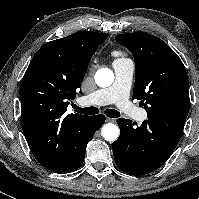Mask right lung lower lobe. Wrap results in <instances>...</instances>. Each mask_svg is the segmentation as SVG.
<instances>
[{
	"mask_svg": "<svg viewBox=\"0 0 199 199\" xmlns=\"http://www.w3.org/2000/svg\"><path fill=\"white\" fill-rule=\"evenodd\" d=\"M104 122V115L87 116L76 124L57 146L45 145L43 140H39L35 135L25 134V137L30 150L41 165L55 173H70L82 165L87 143Z\"/></svg>",
	"mask_w": 199,
	"mask_h": 199,
	"instance_id": "98d812e1",
	"label": "right lung lower lobe"
}]
</instances>
